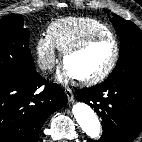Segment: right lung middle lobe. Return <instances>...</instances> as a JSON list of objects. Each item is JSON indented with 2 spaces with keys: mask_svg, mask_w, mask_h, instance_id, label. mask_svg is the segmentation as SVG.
<instances>
[{
  "mask_svg": "<svg viewBox=\"0 0 142 142\" xmlns=\"http://www.w3.org/2000/svg\"><path fill=\"white\" fill-rule=\"evenodd\" d=\"M28 43L29 31L23 27L21 14L0 20V80L22 78L36 71Z\"/></svg>",
  "mask_w": 142,
  "mask_h": 142,
  "instance_id": "right-lung-middle-lobe-1",
  "label": "right lung middle lobe"
}]
</instances>
